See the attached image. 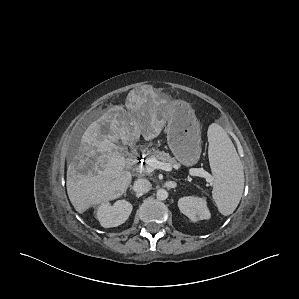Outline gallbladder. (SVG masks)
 Wrapping results in <instances>:
<instances>
[{
  "instance_id": "gallbladder-1",
  "label": "gallbladder",
  "mask_w": 299,
  "mask_h": 299,
  "mask_svg": "<svg viewBox=\"0 0 299 299\" xmlns=\"http://www.w3.org/2000/svg\"><path fill=\"white\" fill-rule=\"evenodd\" d=\"M101 132L104 133V134H108V133L110 132V128H109V126H108V125H103V126L101 127ZM120 150H121V151H125V148L122 146V147L120 148Z\"/></svg>"
}]
</instances>
